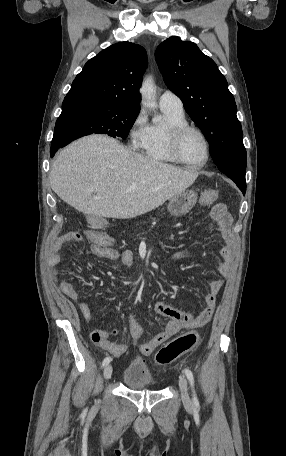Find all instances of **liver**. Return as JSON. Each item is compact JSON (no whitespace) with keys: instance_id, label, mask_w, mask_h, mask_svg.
<instances>
[{"instance_id":"1","label":"liver","mask_w":286,"mask_h":456,"mask_svg":"<svg viewBox=\"0 0 286 456\" xmlns=\"http://www.w3.org/2000/svg\"><path fill=\"white\" fill-rule=\"evenodd\" d=\"M194 170L143 157L104 135L74 141L50 170L52 190L78 211L97 217L133 218L185 191Z\"/></svg>"}]
</instances>
